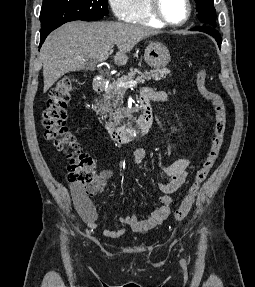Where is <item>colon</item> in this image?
<instances>
[{"instance_id":"colon-1","label":"colon","mask_w":255,"mask_h":287,"mask_svg":"<svg viewBox=\"0 0 255 287\" xmlns=\"http://www.w3.org/2000/svg\"><path fill=\"white\" fill-rule=\"evenodd\" d=\"M207 72L201 70L197 73L196 83L201 95L209 100L215 112L214 131L206 158L197 171L194 181L174 212L176 221L183 220L190 212L202 183L207 179L214 167L223 143L226 130V109L222 98L210 91L206 85ZM73 89V80L69 76L61 77L50 90L43 111L44 136L53 141L56 148L63 151L69 160L67 179L70 183L82 186L90 185L95 179L92 158L84 153L77 144L74 136L66 126V107Z\"/></svg>"}]
</instances>
